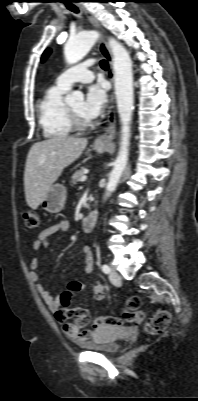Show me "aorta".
Segmentation results:
<instances>
[{
  "label": "aorta",
  "mask_w": 198,
  "mask_h": 401,
  "mask_svg": "<svg viewBox=\"0 0 198 401\" xmlns=\"http://www.w3.org/2000/svg\"><path fill=\"white\" fill-rule=\"evenodd\" d=\"M98 37V32L86 31L70 38L64 47L66 61L69 64L80 61L90 51ZM109 46L113 54L115 95L121 120L122 136L119 154L106 185V198L115 191L127 164L130 145V124L134 104L133 73L130 55L125 47L114 38H109ZM83 97L84 95L81 91H73L66 96L65 102L73 104L77 100H82Z\"/></svg>",
  "instance_id": "aorta-1"
}]
</instances>
